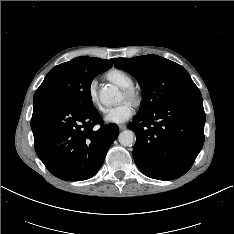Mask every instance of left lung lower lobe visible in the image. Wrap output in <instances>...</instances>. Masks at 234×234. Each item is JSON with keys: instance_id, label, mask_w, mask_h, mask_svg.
Wrapping results in <instances>:
<instances>
[{"instance_id": "left-lung-lower-lobe-1", "label": "left lung lower lobe", "mask_w": 234, "mask_h": 234, "mask_svg": "<svg viewBox=\"0 0 234 234\" xmlns=\"http://www.w3.org/2000/svg\"><path fill=\"white\" fill-rule=\"evenodd\" d=\"M205 120L198 88L136 115L128 128L136 135L133 158L139 170L158 180L184 175L203 146Z\"/></svg>"}]
</instances>
